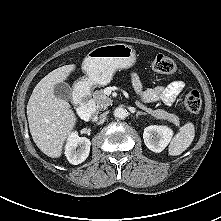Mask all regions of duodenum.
<instances>
[{
    "label": "duodenum",
    "mask_w": 221,
    "mask_h": 221,
    "mask_svg": "<svg viewBox=\"0 0 221 221\" xmlns=\"http://www.w3.org/2000/svg\"><path fill=\"white\" fill-rule=\"evenodd\" d=\"M78 111L83 120H90L96 114L95 103L90 99H81L78 105Z\"/></svg>",
    "instance_id": "410a0bca"
}]
</instances>
